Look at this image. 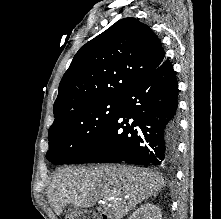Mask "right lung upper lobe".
Returning <instances> with one entry per match:
<instances>
[{
	"label": "right lung upper lobe",
	"mask_w": 221,
	"mask_h": 219,
	"mask_svg": "<svg viewBox=\"0 0 221 219\" xmlns=\"http://www.w3.org/2000/svg\"><path fill=\"white\" fill-rule=\"evenodd\" d=\"M164 60L160 40L149 26L136 18L117 21L74 56L59 85L55 120L91 101L122 98Z\"/></svg>",
	"instance_id": "right-lung-upper-lobe-1"
}]
</instances>
